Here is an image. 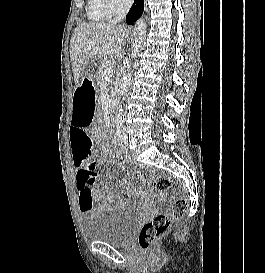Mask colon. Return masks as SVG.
<instances>
[{
    "label": "colon",
    "mask_w": 265,
    "mask_h": 273,
    "mask_svg": "<svg viewBox=\"0 0 265 273\" xmlns=\"http://www.w3.org/2000/svg\"><path fill=\"white\" fill-rule=\"evenodd\" d=\"M157 190L163 191L170 186V180L167 177L159 176L154 181ZM187 209V199L178 198L172 204L169 213L157 215L154 219L146 222L138 236V243L141 248L147 249L155 243L170 227L172 220L180 219L185 215Z\"/></svg>",
    "instance_id": "obj_1"
}]
</instances>
